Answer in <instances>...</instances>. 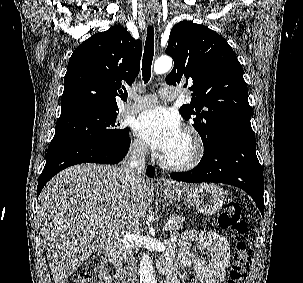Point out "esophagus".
<instances>
[{
    "label": "esophagus",
    "instance_id": "esophagus-1",
    "mask_svg": "<svg viewBox=\"0 0 303 283\" xmlns=\"http://www.w3.org/2000/svg\"><path fill=\"white\" fill-rule=\"evenodd\" d=\"M148 20H149V22L154 23V18L153 17L148 18ZM161 180H162V178H160V181Z\"/></svg>",
    "mask_w": 303,
    "mask_h": 283
}]
</instances>
